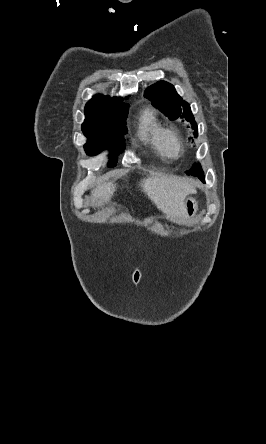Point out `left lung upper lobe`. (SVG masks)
Here are the masks:
<instances>
[{"mask_svg":"<svg viewBox=\"0 0 266 444\" xmlns=\"http://www.w3.org/2000/svg\"><path fill=\"white\" fill-rule=\"evenodd\" d=\"M145 97L150 99L153 105L163 112L169 119L175 120L178 117L193 124L195 134L198 135L197 124L191 112L190 105L184 101L176 92L172 84L159 81L148 87Z\"/></svg>","mask_w":266,"mask_h":444,"instance_id":"1","label":"left lung upper lobe"}]
</instances>
